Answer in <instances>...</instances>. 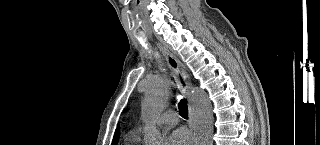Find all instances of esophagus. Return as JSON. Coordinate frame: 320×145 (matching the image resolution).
Returning <instances> with one entry per match:
<instances>
[{
    "label": "esophagus",
    "mask_w": 320,
    "mask_h": 145,
    "mask_svg": "<svg viewBox=\"0 0 320 145\" xmlns=\"http://www.w3.org/2000/svg\"><path fill=\"white\" fill-rule=\"evenodd\" d=\"M160 51L166 58V61L172 70L173 74L178 80V84L180 87L181 92L186 96L188 101V111H189V119L188 125L190 128L191 133L193 132V105H192V98H191V83L189 79V75L185 71L183 65L178 60V58L171 53L167 48L163 47L161 44H157Z\"/></svg>",
    "instance_id": "esophagus-1"
}]
</instances>
